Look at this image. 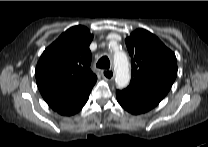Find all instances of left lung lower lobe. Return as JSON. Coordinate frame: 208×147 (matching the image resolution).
I'll return each instance as SVG.
<instances>
[{
	"label": "left lung lower lobe",
	"instance_id": "1",
	"mask_svg": "<svg viewBox=\"0 0 208 147\" xmlns=\"http://www.w3.org/2000/svg\"><path fill=\"white\" fill-rule=\"evenodd\" d=\"M116 97L126 111L135 115L151 110L162 100L156 95L129 86L124 90H117Z\"/></svg>",
	"mask_w": 208,
	"mask_h": 147
}]
</instances>
